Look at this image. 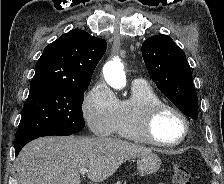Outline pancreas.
<instances>
[{"instance_id":"1","label":"pancreas","mask_w":224,"mask_h":184,"mask_svg":"<svg viewBox=\"0 0 224 184\" xmlns=\"http://www.w3.org/2000/svg\"><path fill=\"white\" fill-rule=\"evenodd\" d=\"M115 184H122V182L118 181V182H117V183H115ZM124 184H126V182H124Z\"/></svg>"}]
</instances>
